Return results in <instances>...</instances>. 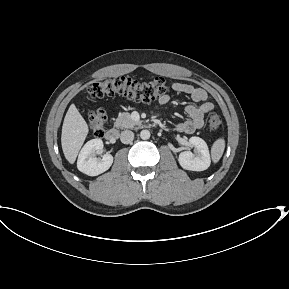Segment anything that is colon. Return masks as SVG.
<instances>
[{"label":"colon","instance_id":"1","mask_svg":"<svg viewBox=\"0 0 289 289\" xmlns=\"http://www.w3.org/2000/svg\"><path fill=\"white\" fill-rule=\"evenodd\" d=\"M168 92L167 81L162 77L140 82L129 77H114L103 81L92 82L86 87V93L91 98L122 95L130 99L149 103ZM222 124L221 116L216 112L207 115V126L216 131ZM107 116L103 110H93L89 113V127L96 137L104 135Z\"/></svg>","mask_w":289,"mask_h":289}]
</instances>
